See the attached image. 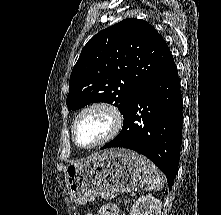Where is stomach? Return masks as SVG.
I'll list each match as a JSON object with an SVG mask.
<instances>
[{
  "mask_svg": "<svg viewBox=\"0 0 221 215\" xmlns=\"http://www.w3.org/2000/svg\"><path fill=\"white\" fill-rule=\"evenodd\" d=\"M141 156L125 148H112L65 169L71 200L86 204L97 196L109 200L131 192L141 178Z\"/></svg>",
  "mask_w": 221,
  "mask_h": 215,
  "instance_id": "0dacf381",
  "label": "stomach"
}]
</instances>
